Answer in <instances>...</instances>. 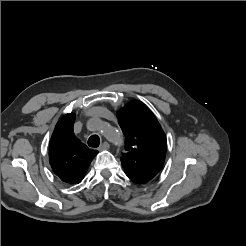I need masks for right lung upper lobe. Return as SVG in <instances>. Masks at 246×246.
Returning <instances> with one entry per match:
<instances>
[{
	"label": "right lung upper lobe",
	"instance_id": "cb5924a9",
	"mask_svg": "<svg viewBox=\"0 0 246 246\" xmlns=\"http://www.w3.org/2000/svg\"><path fill=\"white\" fill-rule=\"evenodd\" d=\"M75 114H66L57 123L49 142L53 172L65 183H80L98 151L89 149L73 132Z\"/></svg>",
	"mask_w": 246,
	"mask_h": 246
}]
</instances>
